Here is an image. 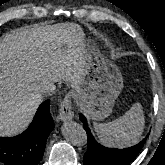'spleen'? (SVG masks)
<instances>
[{"label":"spleen","mask_w":165,"mask_h":165,"mask_svg":"<svg viewBox=\"0 0 165 165\" xmlns=\"http://www.w3.org/2000/svg\"><path fill=\"white\" fill-rule=\"evenodd\" d=\"M145 125L142 106L135 103L123 116L108 123H94L100 141L110 147L124 148L134 145L141 137Z\"/></svg>","instance_id":"spleen-1"}]
</instances>
